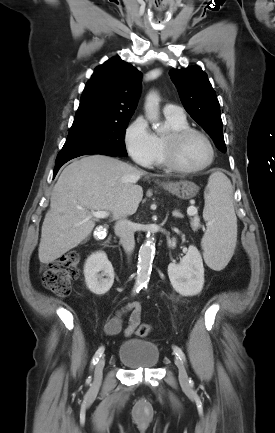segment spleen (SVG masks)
<instances>
[{
  "label": "spleen",
  "instance_id": "1",
  "mask_svg": "<svg viewBox=\"0 0 275 433\" xmlns=\"http://www.w3.org/2000/svg\"><path fill=\"white\" fill-rule=\"evenodd\" d=\"M204 198L203 217L207 231L201 242L203 256L210 268L219 271L230 261L237 241V218L230 180L221 172L212 173Z\"/></svg>",
  "mask_w": 275,
  "mask_h": 433
}]
</instances>
